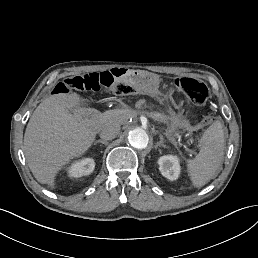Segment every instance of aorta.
<instances>
[{
    "label": "aorta",
    "instance_id": "obj_1",
    "mask_svg": "<svg viewBox=\"0 0 258 258\" xmlns=\"http://www.w3.org/2000/svg\"><path fill=\"white\" fill-rule=\"evenodd\" d=\"M128 142L136 149H143L148 145L149 136L144 129L138 127L128 133Z\"/></svg>",
    "mask_w": 258,
    "mask_h": 258
}]
</instances>
